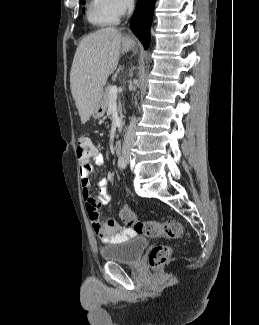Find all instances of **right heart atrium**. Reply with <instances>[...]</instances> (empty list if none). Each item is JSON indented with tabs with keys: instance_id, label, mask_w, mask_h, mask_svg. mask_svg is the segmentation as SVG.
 Segmentation results:
<instances>
[{
	"instance_id": "right-heart-atrium-1",
	"label": "right heart atrium",
	"mask_w": 259,
	"mask_h": 325,
	"mask_svg": "<svg viewBox=\"0 0 259 325\" xmlns=\"http://www.w3.org/2000/svg\"><path fill=\"white\" fill-rule=\"evenodd\" d=\"M108 10L116 18L124 15L133 5V0H105Z\"/></svg>"
}]
</instances>
